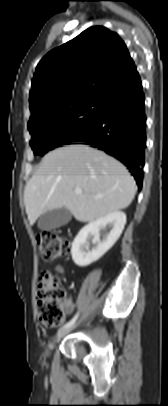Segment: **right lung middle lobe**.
<instances>
[{
    "label": "right lung middle lobe",
    "mask_w": 168,
    "mask_h": 406,
    "mask_svg": "<svg viewBox=\"0 0 168 406\" xmlns=\"http://www.w3.org/2000/svg\"><path fill=\"white\" fill-rule=\"evenodd\" d=\"M100 109L99 99L84 100L29 123L28 130L32 135L30 145L34 154L43 156L79 136L96 121Z\"/></svg>",
    "instance_id": "right-lung-middle-lobe-1"
}]
</instances>
